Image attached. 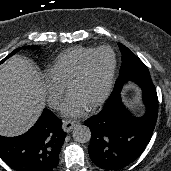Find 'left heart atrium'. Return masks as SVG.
Segmentation results:
<instances>
[{"instance_id": "obj_1", "label": "left heart atrium", "mask_w": 171, "mask_h": 171, "mask_svg": "<svg viewBox=\"0 0 171 171\" xmlns=\"http://www.w3.org/2000/svg\"><path fill=\"white\" fill-rule=\"evenodd\" d=\"M88 108L87 104L78 95L70 93L62 105V114L66 117H79Z\"/></svg>"}]
</instances>
